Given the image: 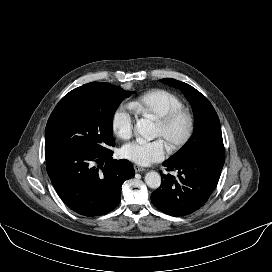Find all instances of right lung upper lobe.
I'll return each mask as SVG.
<instances>
[{
	"label": "right lung upper lobe",
	"instance_id": "cb5924a9",
	"mask_svg": "<svg viewBox=\"0 0 272 272\" xmlns=\"http://www.w3.org/2000/svg\"><path fill=\"white\" fill-rule=\"evenodd\" d=\"M89 89H90L89 85L85 84L70 91L59 101L55 109L69 106L71 104L89 99L90 97Z\"/></svg>",
	"mask_w": 272,
	"mask_h": 272
}]
</instances>
